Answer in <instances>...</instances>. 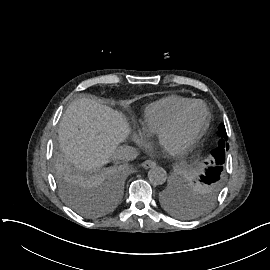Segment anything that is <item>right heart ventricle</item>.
<instances>
[{
	"instance_id": "right-heart-ventricle-1",
	"label": "right heart ventricle",
	"mask_w": 270,
	"mask_h": 270,
	"mask_svg": "<svg viewBox=\"0 0 270 270\" xmlns=\"http://www.w3.org/2000/svg\"><path fill=\"white\" fill-rule=\"evenodd\" d=\"M190 98L169 95L148 104L144 109L142 126L149 134H158L182 109L193 103Z\"/></svg>"
}]
</instances>
